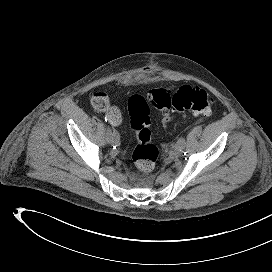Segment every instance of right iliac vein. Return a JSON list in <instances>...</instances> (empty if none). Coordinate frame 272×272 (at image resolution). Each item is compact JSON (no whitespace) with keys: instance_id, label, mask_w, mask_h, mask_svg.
I'll use <instances>...</instances> for the list:
<instances>
[{"instance_id":"63e3f726","label":"right iliac vein","mask_w":272,"mask_h":272,"mask_svg":"<svg viewBox=\"0 0 272 272\" xmlns=\"http://www.w3.org/2000/svg\"><path fill=\"white\" fill-rule=\"evenodd\" d=\"M106 140L110 144H117L119 142V135H117V137H115V138H112V137H110V135L107 134Z\"/></svg>"}]
</instances>
